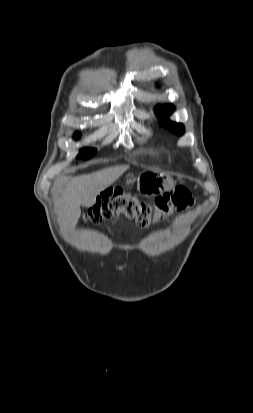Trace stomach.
<instances>
[{
    "mask_svg": "<svg viewBox=\"0 0 253 413\" xmlns=\"http://www.w3.org/2000/svg\"><path fill=\"white\" fill-rule=\"evenodd\" d=\"M173 180L161 173L145 171L137 178V190L145 197H154L171 190Z\"/></svg>",
    "mask_w": 253,
    "mask_h": 413,
    "instance_id": "0dacf381",
    "label": "stomach"
}]
</instances>
